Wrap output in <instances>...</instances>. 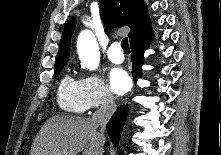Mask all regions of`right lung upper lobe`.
I'll return each instance as SVG.
<instances>
[{"mask_svg":"<svg viewBox=\"0 0 221 155\" xmlns=\"http://www.w3.org/2000/svg\"><path fill=\"white\" fill-rule=\"evenodd\" d=\"M100 14L108 28L130 27V42L150 24L143 0H102ZM75 24V19L71 18L63 30L55 67L65 65L69 59L70 38Z\"/></svg>","mask_w":221,"mask_h":155,"instance_id":"right-lung-upper-lobe-1","label":"right lung upper lobe"}]
</instances>
